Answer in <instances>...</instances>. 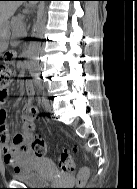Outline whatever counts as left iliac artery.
Here are the masks:
<instances>
[{
	"instance_id": "44dca946",
	"label": "left iliac artery",
	"mask_w": 137,
	"mask_h": 189,
	"mask_svg": "<svg viewBox=\"0 0 137 189\" xmlns=\"http://www.w3.org/2000/svg\"><path fill=\"white\" fill-rule=\"evenodd\" d=\"M42 94H43V100L46 101L47 98H46V96H45V92L43 91Z\"/></svg>"
}]
</instances>
